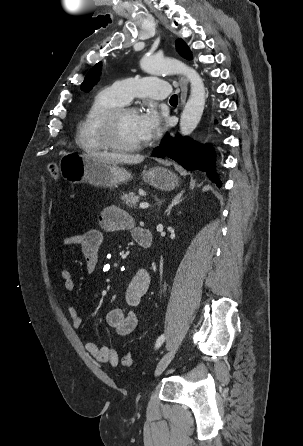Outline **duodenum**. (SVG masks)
Instances as JSON below:
<instances>
[{
	"label": "duodenum",
	"instance_id": "410a0bca",
	"mask_svg": "<svg viewBox=\"0 0 303 446\" xmlns=\"http://www.w3.org/2000/svg\"><path fill=\"white\" fill-rule=\"evenodd\" d=\"M135 240L143 248H149L152 244L151 232L146 228H141L136 234Z\"/></svg>",
	"mask_w": 303,
	"mask_h": 446
}]
</instances>
